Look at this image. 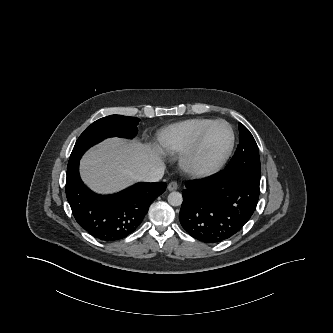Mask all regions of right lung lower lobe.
I'll return each mask as SVG.
<instances>
[{"label":"right lung lower lobe","instance_id":"1","mask_svg":"<svg viewBox=\"0 0 333 333\" xmlns=\"http://www.w3.org/2000/svg\"><path fill=\"white\" fill-rule=\"evenodd\" d=\"M165 182L138 183L113 195H98L79 176V162L67 168L66 196L77 223L93 237L116 241L141 224L155 196L165 191Z\"/></svg>","mask_w":333,"mask_h":333}]
</instances>
